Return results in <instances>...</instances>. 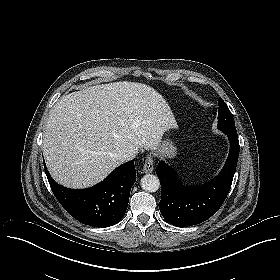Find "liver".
Instances as JSON below:
<instances>
[{"label":"liver","instance_id":"1","mask_svg":"<svg viewBox=\"0 0 280 280\" xmlns=\"http://www.w3.org/2000/svg\"><path fill=\"white\" fill-rule=\"evenodd\" d=\"M176 120L161 94L135 82L86 87L62 96L49 112L43 155L52 177L70 188L102 181L122 155L155 151Z\"/></svg>","mask_w":280,"mask_h":280}]
</instances>
